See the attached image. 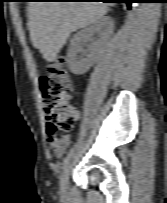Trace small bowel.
<instances>
[{"mask_svg": "<svg viewBox=\"0 0 167 203\" xmlns=\"http://www.w3.org/2000/svg\"><path fill=\"white\" fill-rule=\"evenodd\" d=\"M76 112V119L78 118L79 114L78 111L75 110ZM70 145V140L69 137H63L60 140H57L55 145H50L54 153L58 156L61 157L69 148Z\"/></svg>", "mask_w": 167, "mask_h": 203, "instance_id": "1", "label": "small bowel"}]
</instances>
